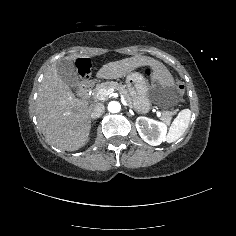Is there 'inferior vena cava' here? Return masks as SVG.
<instances>
[{"mask_svg": "<svg viewBox=\"0 0 236 236\" xmlns=\"http://www.w3.org/2000/svg\"><path fill=\"white\" fill-rule=\"evenodd\" d=\"M104 110H105V105L104 103L100 102L91 108L90 117L92 119H97L101 117V115L104 113Z\"/></svg>", "mask_w": 236, "mask_h": 236, "instance_id": "obj_1", "label": "inferior vena cava"}]
</instances>
